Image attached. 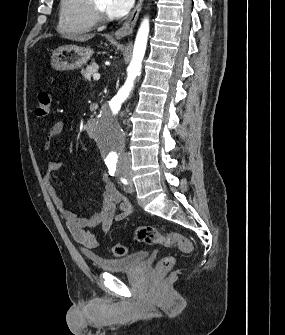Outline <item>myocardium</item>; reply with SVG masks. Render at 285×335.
Wrapping results in <instances>:
<instances>
[{
    "label": "myocardium",
    "mask_w": 285,
    "mask_h": 335,
    "mask_svg": "<svg viewBox=\"0 0 285 335\" xmlns=\"http://www.w3.org/2000/svg\"><path fill=\"white\" fill-rule=\"evenodd\" d=\"M95 15L96 22L101 25L107 24L110 21L109 17H107L105 14L102 1H95Z\"/></svg>",
    "instance_id": "myocardium-1"
}]
</instances>
